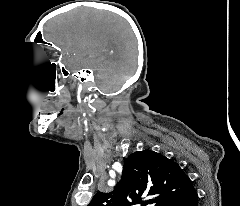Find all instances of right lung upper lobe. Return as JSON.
I'll return each instance as SVG.
<instances>
[{"label":"right lung upper lobe","instance_id":"1","mask_svg":"<svg viewBox=\"0 0 240 206\" xmlns=\"http://www.w3.org/2000/svg\"><path fill=\"white\" fill-rule=\"evenodd\" d=\"M192 181L171 159L151 150L130 155L123 166L122 179L109 193L98 192L88 206H145L150 203L165 206L172 199L186 193Z\"/></svg>","mask_w":240,"mask_h":206}]
</instances>
